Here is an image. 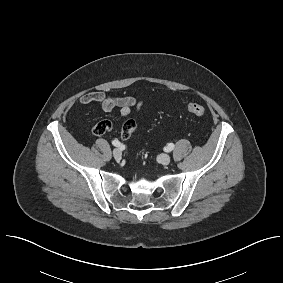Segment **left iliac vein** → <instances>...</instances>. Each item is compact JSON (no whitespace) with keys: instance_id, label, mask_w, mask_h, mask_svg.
<instances>
[{"instance_id":"left-iliac-vein-1","label":"left iliac vein","mask_w":283,"mask_h":283,"mask_svg":"<svg viewBox=\"0 0 283 283\" xmlns=\"http://www.w3.org/2000/svg\"><path fill=\"white\" fill-rule=\"evenodd\" d=\"M158 160L162 165H168L171 161V157L169 154H162L159 156Z\"/></svg>"}]
</instances>
